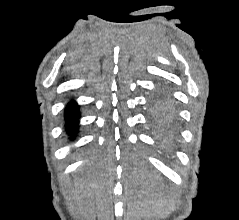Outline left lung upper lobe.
<instances>
[{
  "instance_id": "obj_1",
  "label": "left lung upper lobe",
  "mask_w": 239,
  "mask_h": 220,
  "mask_svg": "<svg viewBox=\"0 0 239 220\" xmlns=\"http://www.w3.org/2000/svg\"><path fill=\"white\" fill-rule=\"evenodd\" d=\"M152 108L154 122L159 126H163L173 112L172 103L167 97H159L155 99Z\"/></svg>"
}]
</instances>
